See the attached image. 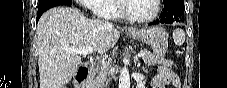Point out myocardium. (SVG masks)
<instances>
[{"label":"myocardium","instance_id":"1","mask_svg":"<svg viewBox=\"0 0 227 88\" xmlns=\"http://www.w3.org/2000/svg\"><path fill=\"white\" fill-rule=\"evenodd\" d=\"M128 1H132V0H119L118 9H119V13L121 14V16L130 22L140 23V24L148 23V22H151L152 20H154L159 15L160 0H154L155 12L151 16L144 17V18L134 17L127 12L126 2H128Z\"/></svg>","mask_w":227,"mask_h":88}]
</instances>
